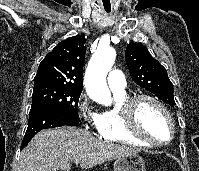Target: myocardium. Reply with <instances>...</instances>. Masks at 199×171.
<instances>
[{"instance_id": "1", "label": "myocardium", "mask_w": 199, "mask_h": 171, "mask_svg": "<svg viewBox=\"0 0 199 171\" xmlns=\"http://www.w3.org/2000/svg\"><path fill=\"white\" fill-rule=\"evenodd\" d=\"M142 101H150L163 111L171 128L170 137L168 140L161 142L153 140L141 130L138 124V108ZM122 113L124 116L125 126L128 132L133 136L137 137L138 139L155 147H161L173 141L176 134L174 119L169 109L157 97L143 93L129 96L122 104Z\"/></svg>"}]
</instances>
